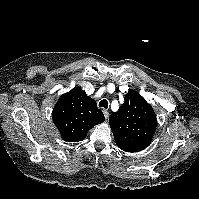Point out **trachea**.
<instances>
[{
  "instance_id": "1",
  "label": "trachea",
  "mask_w": 199,
  "mask_h": 199,
  "mask_svg": "<svg viewBox=\"0 0 199 199\" xmlns=\"http://www.w3.org/2000/svg\"><path fill=\"white\" fill-rule=\"evenodd\" d=\"M99 107H104L105 109L108 108V101L106 99H103L99 102Z\"/></svg>"
}]
</instances>
